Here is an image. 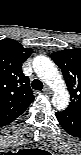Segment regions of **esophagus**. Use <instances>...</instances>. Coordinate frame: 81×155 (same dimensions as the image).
Segmentation results:
<instances>
[{"instance_id":"obj_1","label":"esophagus","mask_w":81,"mask_h":155,"mask_svg":"<svg viewBox=\"0 0 81 155\" xmlns=\"http://www.w3.org/2000/svg\"><path fill=\"white\" fill-rule=\"evenodd\" d=\"M44 91H45V92H48V91H49V89H48V88H44Z\"/></svg>"}]
</instances>
